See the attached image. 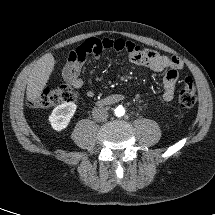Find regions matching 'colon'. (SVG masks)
<instances>
[{
    "mask_svg": "<svg viewBox=\"0 0 215 215\" xmlns=\"http://www.w3.org/2000/svg\"><path fill=\"white\" fill-rule=\"evenodd\" d=\"M75 92L68 86L63 85L55 89H45L40 95L31 101L36 108L46 109L62 103H70L75 100ZM179 103L184 108H190L196 103V87L191 77H186L179 94Z\"/></svg>",
    "mask_w": 215,
    "mask_h": 215,
    "instance_id": "obj_1",
    "label": "colon"
}]
</instances>
